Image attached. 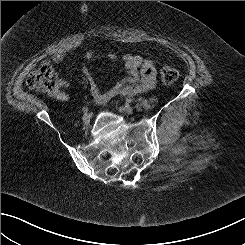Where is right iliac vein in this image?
<instances>
[{"label":"right iliac vein","instance_id":"obj_1","mask_svg":"<svg viewBox=\"0 0 245 245\" xmlns=\"http://www.w3.org/2000/svg\"><path fill=\"white\" fill-rule=\"evenodd\" d=\"M82 120H83V123L85 125H88L90 123V115L89 114H84L83 117H82Z\"/></svg>","mask_w":245,"mask_h":245}]
</instances>
